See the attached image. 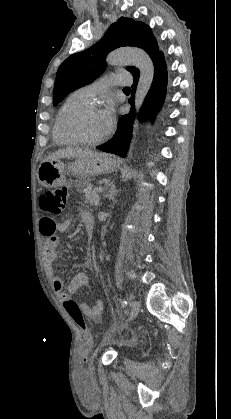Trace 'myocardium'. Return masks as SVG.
<instances>
[{
  "label": "myocardium",
  "instance_id": "obj_1",
  "mask_svg": "<svg viewBox=\"0 0 231 419\" xmlns=\"http://www.w3.org/2000/svg\"><path fill=\"white\" fill-rule=\"evenodd\" d=\"M97 109V105L94 103L88 102L87 104L81 105L79 107H76L75 109L71 110L64 118L63 121V130L65 134L72 139L73 141L85 144V145H96L104 140H106L110 135V129H108L105 134H103L100 137L89 139L84 136H82L75 128L74 123L78 117H80L82 114Z\"/></svg>",
  "mask_w": 231,
  "mask_h": 419
}]
</instances>
